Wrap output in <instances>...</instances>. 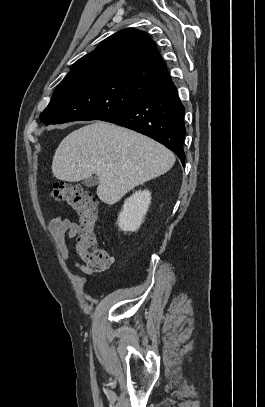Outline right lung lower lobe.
<instances>
[{
	"label": "right lung lower lobe",
	"instance_id": "right-lung-lower-lobe-1",
	"mask_svg": "<svg viewBox=\"0 0 265 407\" xmlns=\"http://www.w3.org/2000/svg\"><path fill=\"white\" fill-rule=\"evenodd\" d=\"M184 111L177 90L169 78L154 87L138 103L100 120L124 126L155 139L172 150L184 165Z\"/></svg>",
	"mask_w": 265,
	"mask_h": 407
}]
</instances>
